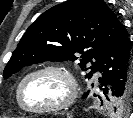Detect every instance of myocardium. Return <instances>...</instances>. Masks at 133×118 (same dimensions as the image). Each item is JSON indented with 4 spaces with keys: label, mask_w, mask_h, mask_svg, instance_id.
<instances>
[{
    "label": "myocardium",
    "mask_w": 133,
    "mask_h": 118,
    "mask_svg": "<svg viewBox=\"0 0 133 118\" xmlns=\"http://www.w3.org/2000/svg\"><path fill=\"white\" fill-rule=\"evenodd\" d=\"M44 72H53L60 74L66 80L68 86L67 96L61 102L51 106H46L41 108H30L24 103L22 97L23 87L29 78ZM78 91L79 88L77 80L69 68L59 64H46L32 69L23 76L17 87V101L19 106L28 113L47 114V113L58 112L71 106L77 98Z\"/></svg>",
    "instance_id": "obj_1"
}]
</instances>
